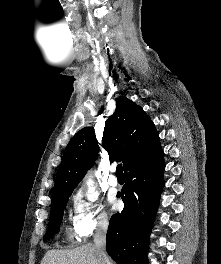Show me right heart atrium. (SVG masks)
I'll return each mask as SVG.
<instances>
[{
	"label": "right heart atrium",
	"instance_id": "1",
	"mask_svg": "<svg viewBox=\"0 0 221 264\" xmlns=\"http://www.w3.org/2000/svg\"><path fill=\"white\" fill-rule=\"evenodd\" d=\"M110 219L102 204L88 199L83 191L72 198V228L79 239H86L95 231L105 230Z\"/></svg>",
	"mask_w": 221,
	"mask_h": 264
}]
</instances>
